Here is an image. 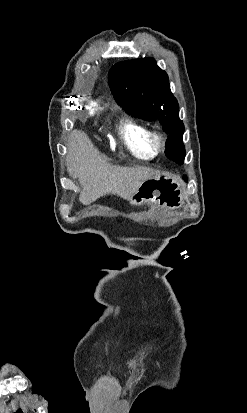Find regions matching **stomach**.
Returning a JSON list of instances; mask_svg holds the SVG:
<instances>
[{
  "mask_svg": "<svg viewBox=\"0 0 247 413\" xmlns=\"http://www.w3.org/2000/svg\"><path fill=\"white\" fill-rule=\"evenodd\" d=\"M130 204H156L160 209H180L185 202V184L179 176L163 172L141 182L128 198Z\"/></svg>",
  "mask_w": 247,
  "mask_h": 413,
  "instance_id": "0dacf381",
  "label": "stomach"
}]
</instances>
